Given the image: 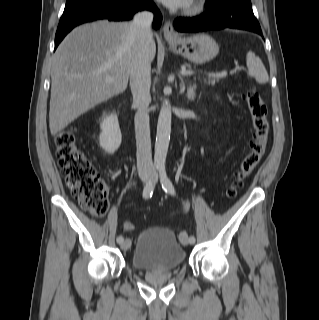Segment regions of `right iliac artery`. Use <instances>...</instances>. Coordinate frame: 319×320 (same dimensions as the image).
Masks as SVG:
<instances>
[{"label":"right iliac artery","instance_id":"1","mask_svg":"<svg viewBox=\"0 0 319 320\" xmlns=\"http://www.w3.org/2000/svg\"><path fill=\"white\" fill-rule=\"evenodd\" d=\"M154 190L153 179H150L143 190V198L148 199L152 196ZM124 241L122 235L117 237V243L121 244Z\"/></svg>","mask_w":319,"mask_h":320}]
</instances>
